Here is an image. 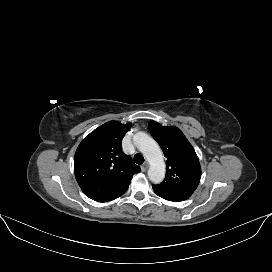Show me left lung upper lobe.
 I'll use <instances>...</instances> for the list:
<instances>
[{"label": "left lung upper lobe", "instance_id": "5c2ea615", "mask_svg": "<svg viewBox=\"0 0 272 272\" xmlns=\"http://www.w3.org/2000/svg\"><path fill=\"white\" fill-rule=\"evenodd\" d=\"M149 130L167 158L165 180L153 185V190L181 200L188 199L201 178L195 150L177 127H163L158 122L150 121Z\"/></svg>", "mask_w": 272, "mask_h": 272}]
</instances>
